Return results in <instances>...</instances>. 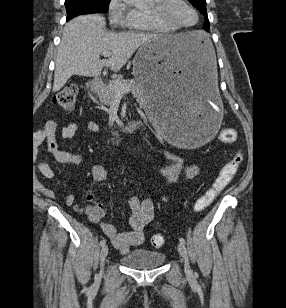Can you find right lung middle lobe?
<instances>
[{
  "mask_svg": "<svg viewBox=\"0 0 286 308\" xmlns=\"http://www.w3.org/2000/svg\"><path fill=\"white\" fill-rule=\"evenodd\" d=\"M110 0H66L67 20L89 13H103L108 10Z\"/></svg>",
  "mask_w": 286,
  "mask_h": 308,
  "instance_id": "1",
  "label": "right lung middle lobe"
}]
</instances>
